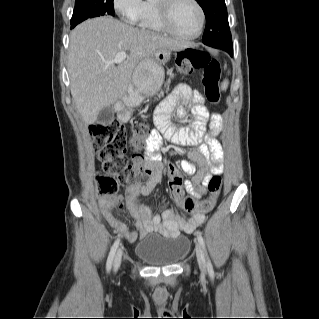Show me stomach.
I'll list each match as a JSON object with an SVG mask.
<instances>
[{
  "label": "stomach",
  "instance_id": "1",
  "mask_svg": "<svg viewBox=\"0 0 319 319\" xmlns=\"http://www.w3.org/2000/svg\"><path fill=\"white\" fill-rule=\"evenodd\" d=\"M170 54V49L160 48L153 56L137 65L133 73V84L140 97L152 96L159 90L164 78L162 66L170 59Z\"/></svg>",
  "mask_w": 319,
  "mask_h": 319
}]
</instances>
